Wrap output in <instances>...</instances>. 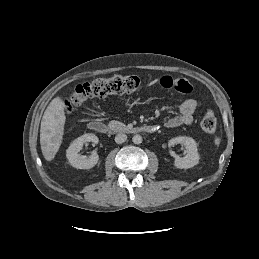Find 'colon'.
Here are the masks:
<instances>
[{
	"mask_svg": "<svg viewBox=\"0 0 259 259\" xmlns=\"http://www.w3.org/2000/svg\"><path fill=\"white\" fill-rule=\"evenodd\" d=\"M159 83L162 88L181 94H189L193 89L191 83L185 78L164 76ZM144 84L145 82L135 75L114 76L108 79L98 78L78 85L70 98L65 101V107L71 111L90 99L103 98L112 94L133 93ZM201 128L206 133H215L217 121L211 110L205 113L201 121Z\"/></svg>",
	"mask_w": 259,
	"mask_h": 259,
	"instance_id": "obj_1",
	"label": "colon"
}]
</instances>
